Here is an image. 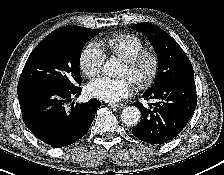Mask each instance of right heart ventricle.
<instances>
[{
	"mask_svg": "<svg viewBox=\"0 0 224 175\" xmlns=\"http://www.w3.org/2000/svg\"><path fill=\"white\" fill-rule=\"evenodd\" d=\"M101 45L109 52L128 60L144 50L142 40L133 34H117L104 39Z\"/></svg>",
	"mask_w": 224,
	"mask_h": 175,
	"instance_id": "e07e8e85",
	"label": "right heart ventricle"
}]
</instances>
